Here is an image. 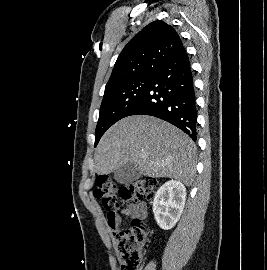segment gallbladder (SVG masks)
I'll return each mask as SVG.
<instances>
[{
    "instance_id": "obj_1",
    "label": "gallbladder",
    "mask_w": 267,
    "mask_h": 270,
    "mask_svg": "<svg viewBox=\"0 0 267 270\" xmlns=\"http://www.w3.org/2000/svg\"><path fill=\"white\" fill-rule=\"evenodd\" d=\"M141 177L139 167L135 163H128L114 171V179L120 184H129Z\"/></svg>"
}]
</instances>
